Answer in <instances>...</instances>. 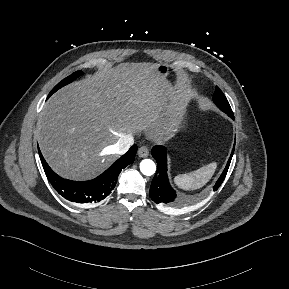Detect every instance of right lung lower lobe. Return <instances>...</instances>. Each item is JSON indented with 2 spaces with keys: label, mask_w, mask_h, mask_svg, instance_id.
<instances>
[{
  "label": "right lung lower lobe",
  "mask_w": 289,
  "mask_h": 289,
  "mask_svg": "<svg viewBox=\"0 0 289 289\" xmlns=\"http://www.w3.org/2000/svg\"><path fill=\"white\" fill-rule=\"evenodd\" d=\"M136 152L137 145H133L126 154L121 156L101 175L83 182L61 178L51 170L40 150L39 155L48 180L62 197L71 202L91 205L102 201L111 193L122 169L134 162Z\"/></svg>",
  "instance_id": "98d812e1"
}]
</instances>
